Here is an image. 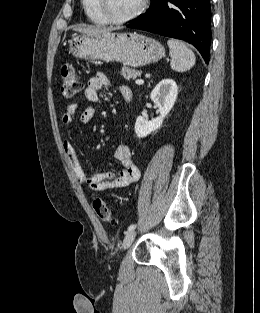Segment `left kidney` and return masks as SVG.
Listing matches in <instances>:
<instances>
[{
    "instance_id": "1",
    "label": "left kidney",
    "mask_w": 260,
    "mask_h": 313,
    "mask_svg": "<svg viewBox=\"0 0 260 313\" xmlns=\"http://www.w3.org/2000/svg\"><path fill=\"white\" fill-rule=\"evenodd\" d=\"M178 94V87L173 79H163L152 90L150 98L159 109L160 115L150 121L142 116L136 119L135 133L139 138H144L158 130L164 118L172 110Z\"/></svg>"
}]
</instances>
